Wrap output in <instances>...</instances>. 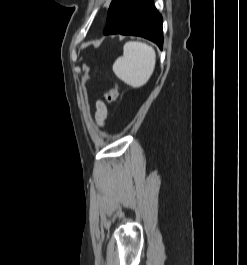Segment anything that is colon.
I'll use <instances>...</instances> for the list:
<instances>
[{"instance_id": "obj_1", "label": "colon", "mask_w": 247, "mask_h": 265, "mask_svg": "<svg viewBox=\"0 0 247 265\" xmlns=\"http://www.w3.org/2000/svg\"><path fill=\"white\" fill-rule=\"evenodd\" d=\"M119 95L118 85L114 83L112 87L105 93V99L108 103H114Z\"/></svg>"}]
</instances>
